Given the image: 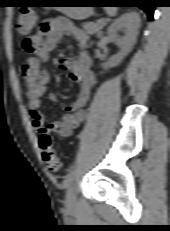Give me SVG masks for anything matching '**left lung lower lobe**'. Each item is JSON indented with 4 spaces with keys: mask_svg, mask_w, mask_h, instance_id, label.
<instances>
[{
    "mask_svg": "<svg viewBox=\"0 0 170 231\" xmlns=\"http://www.w3.org/2000/svg\"><path fill=\"white\" fill-rule=\"evenodd\" d=\"M103 3L116 4L115 6H135L143 9L149 19L153 18V12L155 9L153 0H105Z\"/></svg>",
    "mask_w": 170,
    "mask_h": 231,
    "instance_id": "obj_1",
    "label": "left lung lower lobe"
}]
</instances>
